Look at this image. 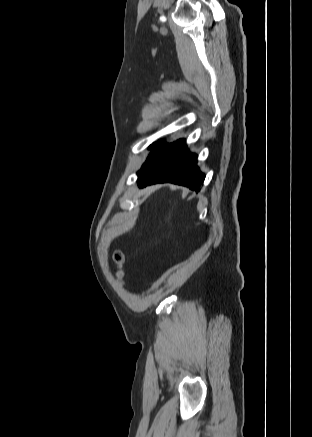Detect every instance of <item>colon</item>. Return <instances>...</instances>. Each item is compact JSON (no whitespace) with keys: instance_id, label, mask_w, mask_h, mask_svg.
<instances>
[{"instance_id":"5ec220e1","label":"colon","mask_w":312,"mask_h":437,"mask_svg":"<svg viewBox=\"0 0 312 437\" xmlns=\"http://www.w3.org/2000/svg\"><path fill=\"white\" fill-rule=\"evenodd\" d=\"M113 260L118 265V267L120 268L122 266V263H123V260H124L123 254L120 251L116 250L113 253ZM118 276L121 279L123 277V273L121 271H119Z\"/></svg>"}]
</instances>
